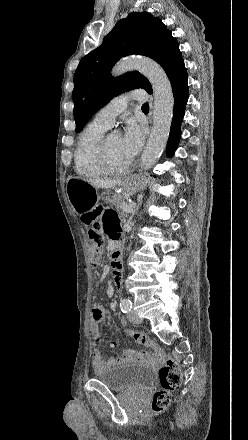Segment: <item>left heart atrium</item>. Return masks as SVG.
<instances>
[{
    "mask_svg": "<svg viewBox=\"0 0 248 440\" xmlns=\"http://www.w3.org/2000/svg\"><path fill=\"white\" fill-rule=\"evenodd\" d=\"M120 145L123 154L129 161L140 151L143 145V133L141 127L133 119L127 121Z\"/></svg>",
    "mask_w": 248,
    "mask_h": 440,
    "instance_id": "left-heart-atrium-1",
    "label": "left heart atrium"
}]
</instances>
